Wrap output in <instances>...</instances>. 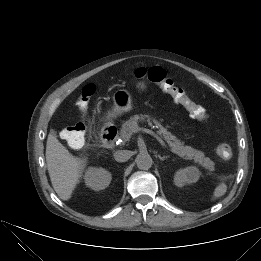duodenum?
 I'll use <instances>...</instances> for the list:
<instances>
[{
	"mask_svg": "<svg viewBox=\"0 0 261 261\" xmlns=\"http://www.w3.org/2000/svg\"><path fill=\"white\" fill-rule=\"evenodd\" d=\"M117 129L114 126H106L101 131V141L103 146L111 148L115 144Z\"/></svg>",
	"mask_w": 261,
	"mask_h": 261,
	"instance_id": "duodenum-1",
	"label": "duodenum"
}]
</instances>
